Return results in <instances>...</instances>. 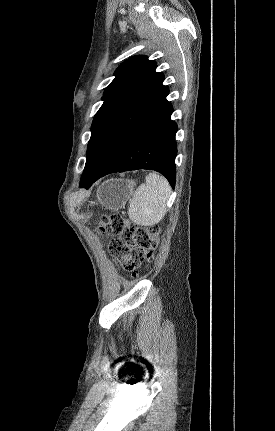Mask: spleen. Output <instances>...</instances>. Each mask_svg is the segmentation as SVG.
Masks as SVG:
<instances>
[{
	"mask_svg": "<svg viewBox=\"0 0 275 431\" xmlns=\"http://www.w3.org/2000/svg\"><path fill=\"white\" fill-rule=\"evenodd\" d=\"M171 194L168 181L156 173L146 176L129 201V218L138 225L152 226L159 223L167 211V200Z\"/></svg>",
	"mask_w": 275,
	"mask_h": 431,
	"instance_id": "spleen-1",
	"label": "spleen"
}]
</instances>
